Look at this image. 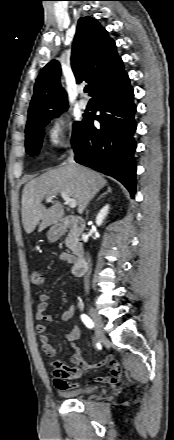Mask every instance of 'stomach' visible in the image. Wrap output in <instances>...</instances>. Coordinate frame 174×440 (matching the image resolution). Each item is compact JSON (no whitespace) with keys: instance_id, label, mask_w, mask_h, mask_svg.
<instances>
[{"instance_id":"1","label":"stomach","mask_w":174,"mask_h":440,"mask_svg":"<svg viewBox=\"0 0 174 440\" xmlns=\"http://www.w3.org/2000/svg\"><path fill=\"white\" fill-rule=\"evenodd\" d=\"M47 237L50 241H56L59 238V234L53 229H50L47 233Z\"/></svg>"}]
</instances>
